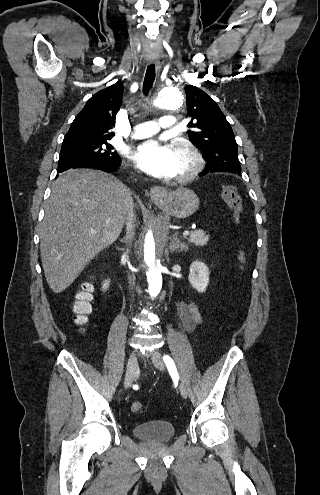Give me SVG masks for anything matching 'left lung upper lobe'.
<instances>
[{"instance_id": "left-lung-upper-lobe-1", "label": "left lung upper lobe", "mask_w": 320, "mask_h": 495, "mask_svg": "<svg viewBox=\"0 0 320 495\" xmlns=\"http://www.w3.org/2000/svg\"><path fill=\"white\" fill-rule=\"evenodd\" d=\"M187 116L191 118L189 140L202 151L207 170L241 174L238 148L233 130L216 102L201 89L188 85Z\"/></svg>"}]
</instances>
